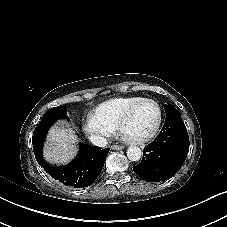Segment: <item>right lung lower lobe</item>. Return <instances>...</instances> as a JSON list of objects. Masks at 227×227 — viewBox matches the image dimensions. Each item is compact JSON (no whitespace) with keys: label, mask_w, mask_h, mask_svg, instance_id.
<instances>
[{"label":"right lung lower lobe","mask_w":227,"mask_h":227,"mask_svg":"<svg viewBox=\"0 0 227 227\" xmlns=\"http://www.w3.org/2000/svg\"><path fill=\"white\" fill-rule=\"evenodd\" d=\"M50 125L37 126L32 137L33 151L38 164L55 180L73 188H84L94 183L104 166L109 148L82 145L77 157L68 165L54 167L42 157V146Z\"/></svg>","instance_id":"right-lung-lower-lobe-1"}]
</instances>
